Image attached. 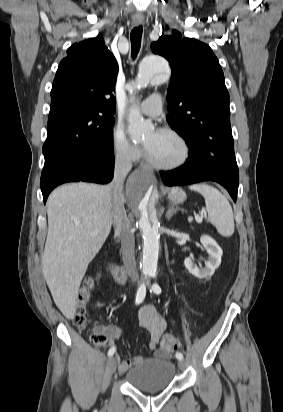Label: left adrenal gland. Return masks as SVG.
<instances>
[{"mask_svg": "<svg viewBox=\"0 0 283 412\" xmlns=\"http://www.w3.org/2000/svg\"><path fill=\"white\" fill-rule=\"evenodd\" d=\"M176 212H177V209H175L173 206H172V207H169L168 210H167V212H166V214H165V217H166L168 220H170L171 217H172Z\"/></svg>", "mask_w": 283, "mask_h": 412, "instance_id": "left-adrenal-gland-1", "label": "left adrenal gland"}]
</instances>
